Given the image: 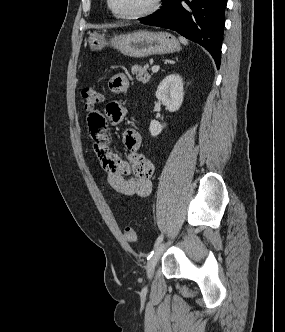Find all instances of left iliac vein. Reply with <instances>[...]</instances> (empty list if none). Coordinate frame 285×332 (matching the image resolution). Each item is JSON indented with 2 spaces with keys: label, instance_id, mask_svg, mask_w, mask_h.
I'll use <instances>...</instances> for the list:
<instances>
[{
  "label": "left iliac vein",
  "instance_id": "left-iliac-vein-1",
  "mask_svg": "<svg viewBox=\"0 0 285 332\" xmlns=\"http://www.w3.org/2000/svg\"><path fill=\"white\" fill-rule=\"evenodd\" d=\"M169 244H170V242H162L155 248V253L149 259V261L147 263V267H146L147 275L149 278H151L153 276L155 267Z\"/></svg>",
  "mask_w": 285,
  "mask_h": 332
}]
</instances>
